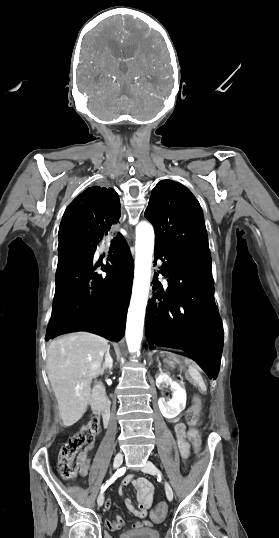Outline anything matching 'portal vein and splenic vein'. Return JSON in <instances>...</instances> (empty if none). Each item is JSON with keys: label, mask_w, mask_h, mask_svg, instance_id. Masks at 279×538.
I'll list each match as a JSON object with an SVG mask.
<instances>
[{"label": "portal vein and splenic vein", "mask_w": 279, "mask_h": 538, "mask_svg": "<svg viewBox=\"0 0 279 538\" xmlns=\"http://www.w3.org/2000/svg\"><path fill=\"white\" fill-rule=\"evenodd\" d=\"M179 379H181L182 383H185V376H179Z\"/></svg>", "instance_id": "18ae733b"}]
</instances>
